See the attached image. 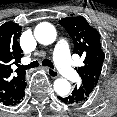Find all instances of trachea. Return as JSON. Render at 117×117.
Here are the masks:
<instances>
[{
    "label": "trachea",
    "mask_w": 117,
    "mask_h": 117,
    "mask_svg": "<svg viewBox=\"0 0 117 117\" xmlns=\"http://www.w3.org/2000/svg\"><path fill=\"white\" fill-rule=\"evenodd\" d=\"M42 64L45 65V66H48V67H50L52 69L54 68L53 63L49 59H44L42 61ZM38 66H39V62L38 61H33L28 65H19L18 67H19L20 70H28V69H31V68H36Z\"/></svg>",
    "instance_id": "3493384b"
}]
</instances>
